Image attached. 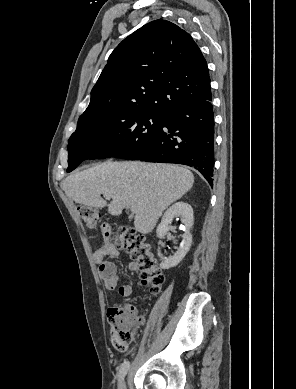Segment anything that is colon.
I'll list each match as a JSON object with an SVG mask.
<instances>
[{
	"label": "colon",
	"instance_id": "5ec220e1",
	"mask_svg": "<svg viewBox=\"0 0 296 389\" xmlns=\"http://www.w3.org/2000/svg\"><path fill=\"white\" fill-rule=\"evenodd\" d=\"M78 213L90 228L96 227L101 218L100 211L90 206H79ZM109 238L115 248L128 251L131 258L136 261L140 269L141 284L154 293L158 292L164 283V275L145 236L131 228L120 227L114 235L110 231ZM107 316L114 347L120 351L127 350L138 336V327L142 319L132 305L112 307L108 309Z\"/></svg>",
	"mask_w": 296,
	"mask_h": 389
}]
</instances>
